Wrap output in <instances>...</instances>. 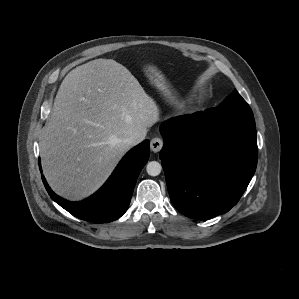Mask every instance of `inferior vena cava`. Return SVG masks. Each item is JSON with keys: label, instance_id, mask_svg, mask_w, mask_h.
<instances>
[{"label": "inferior vena cava", "instance_id": "602c4592", "mask_svg": "<svg viewBox=\"0 0 299 299\" xmlns=\"http://www.w3.org/2000/svg\"><path fill=\"white\" fill-rule=\"evenodd\" d=\"M146 132L134 133L122 140V143L127 146H133L144 140Z\"/></svg>", "mask_w": 299, "mask_h": 299}]
</instances>
